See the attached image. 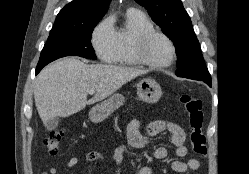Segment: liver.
Here are the masks:
<instances>
[{
  "instance_id": "liver-1",
  "label": "liver",
  "mask_w": 249,
  "mask_h": 174,
  "mask_svg": "<svg viewBox=\"0 0 249 174\" xmlns=\"http://www.w3.org/2000/svg\"><path fill=\"white\" fill-rule=\"evenodd\" d=\"M147 72L107 64H86L64 58L46 66L35 82L34 99L40 118L68 117L112 95L127 82ZM96 94L87 100L89 91Z\"/></svg>"
}]
</instances>
